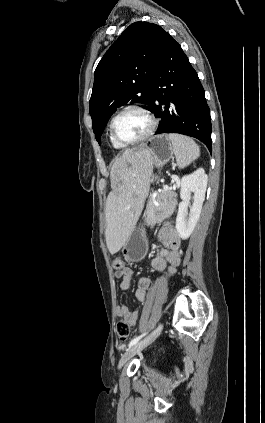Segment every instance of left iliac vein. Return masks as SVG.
Instances as JSON below:
<instances>
[{"mask_svg": "<svg viewBox=\"0 0 265 423\" xmlns=\"http://www.w3.org/2000/svg\"><path fill=\"white\" fill-rule=\"evenodd\" d=\"M163 325L160 324L151 334L145 337L140 342H137L135 345L131 346L122 356L119 362V368L126 364L132 357L141 352L144 348L150 345L162 332Z\"/></svg>", "mask_w": 265, "mask_h": 423, "instance_id": "left-iliac-vein-1", "label": "left iliac vein"}]
</instances>
